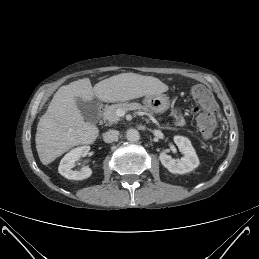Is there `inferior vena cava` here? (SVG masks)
I'll return each instance as SVG.
<instances>
[{"label": "inferior vena cava", "mask_w": 259, "mask_h": 259, "mask_svg": "<svg viewBox=\"0 0 259 259\" xmlns=\"http://www.w3.org/2000/svg\"><path fill=\"white\" fill-rule=\"evenodd\" d=\"M119 131L117 130H109L103 134V140L106 143H111L118 139Z\"/></svg>", "instance_id": "1"}]
</instances>
